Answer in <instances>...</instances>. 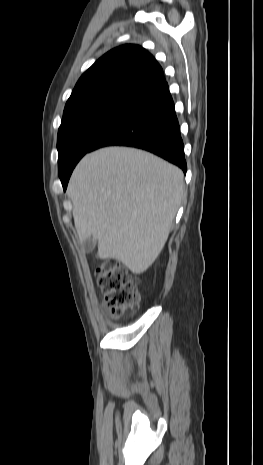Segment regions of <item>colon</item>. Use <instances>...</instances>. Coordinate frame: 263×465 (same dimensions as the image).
Wrapping results in <instances>:
<instances>
[{
	"mask_svg": "<svg viewBox=\"0 0 263 465\" xmlns=\"http://www.w3.org/2000/svg\"><path fill=\"white\" fill-rule=\"evenodd\" d=\"M97 282L114 318L134 310L139 303L138 281L117 261L108 260L96 269Z\"/></svg>",
	"mask_w": 263,
	"mask_h": 465,
	"instance_id": "obj_1",
	"label": "colon"
}]
</instances>
